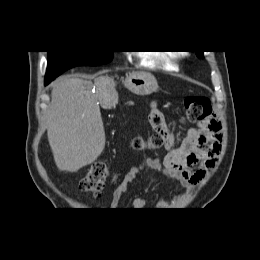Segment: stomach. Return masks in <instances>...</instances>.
I'll return each mask as SVG.
<instances>
[{
  "label": "stomach",
  "instance_id": "obj_1",
  "mask_svg": "<svg viewBox=\"0 0 260 260\" xmlns=\"http://www.w3.org/2000/svg\"><path fill=\"white\" fill-rule=\"evenodd\" d=\"M125 87L139 96L150 95L158 90L156 78L150 73H132L124 81Z\"/></svg>",
  "mask_w": 260,
  "mask_h": 260
}]
</instances>
